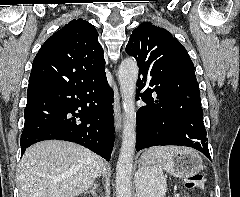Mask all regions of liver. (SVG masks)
<instances>
[{
    "mask_svg": "<svg viewBox=\"0 0 240 197\" xmlns=\"http://www.w3.org/2000/svg\"><path fill=\"white\" fill-rule=\"evenodd\" d=\"M106 171L102 158L78 144L47 140L29 147L18 167L20 197H76ZM101 172V173H102Z\"/></svg>",
    "mask_w": 240,
    "mask_h": 197,
    "instance_id": "liver-1",
    "label": "liver"
}]
</instances>
